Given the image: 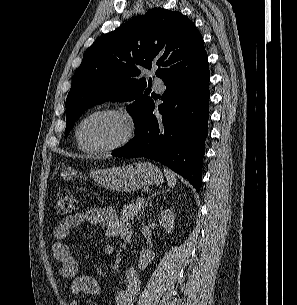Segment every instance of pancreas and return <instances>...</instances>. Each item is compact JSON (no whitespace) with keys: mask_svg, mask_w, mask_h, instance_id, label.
Returning <instances> with one entry per match:
<instances>
[{"mask_svg":"<svg viewBox=\"0 0 297 305\" xmlns=\"http://www.w3.org/2000/svg\"><path fill=\"white\" fill-rule=\"evenodd\" d=\"M140 200L141 199H137L136 203H131L123 207V210L120 213L121 221L128 222L138 214L139 210L143 207V203L138 204Z\"/></svg>","mask_w":297,"mask_h":305,"instance_id":"obj_1","label":"pancreas"}]
</instances>
